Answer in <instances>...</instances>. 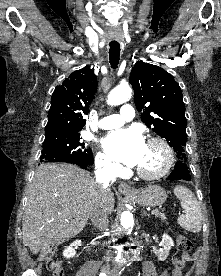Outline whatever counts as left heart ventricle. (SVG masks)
<instances>
[{"instance_id":"left-heart-ventricle-1","label":"left heart ventricle","mask_w":221,"mask_h":276,"mask_svg":"<svg viewBox=\"0 0 221 276\" xmlns=\"http://www.w3.org/2000/svg\"><path fill=\"white\" fill-rule=\"evenodd\" d=\"M164 161V154L161 148L157 145L146 144L145 152L138 168L145 171L158 170Z\"/></svg>"}]
</instances>
